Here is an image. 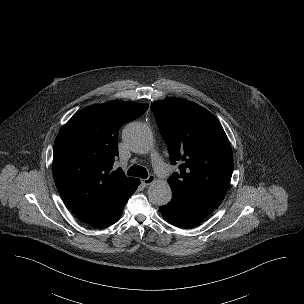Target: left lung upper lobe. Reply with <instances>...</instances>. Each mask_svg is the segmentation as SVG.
Returning <instances> with one entry per match:
<instances>
[{
    "label": "left lung upper lobe",
    "mask_w": 304,
    "mask_h": 304,
    "mask_svg": "<svg viewBox=\"0 0 304 304\" xmlns=\"http://www.w3.org/2000/svg\"><path fill=\"white\" fill-rule=\"evenodd\" d=\"M172 164L179 171L168 179L172 193L217 208L228 190L233 158L219 121L198 104L171 98L151 105Z\"/></svg>",
    "instance_id": "5c2ea615"
}]
</instances>
